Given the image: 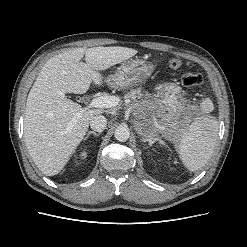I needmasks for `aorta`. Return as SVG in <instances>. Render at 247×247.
Listing matches in <instances>:
<instances>
[{
    "label": "aorta",
    "instance_id": "762f6f07",
    "mask_svg": "<svg viewBox=\"0 0 247 247\" xmlns=\"http://www.w3.org/2000/svg\"><path fill=\"white\" fill-rule=\"evenodd\" d=\"M114 136L116 140L120 142H125L130 137V131L129 128L125 125H120L115 129Z\"/></svg>",
    "mask_w": 247,
    "mask_h": 247
}]
</instances>
